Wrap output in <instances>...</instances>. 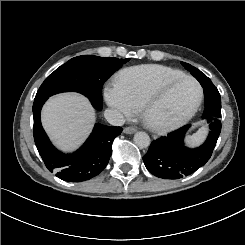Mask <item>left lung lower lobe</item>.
Segmentation results:
<instances>
[{
	"label": "left lung lower lobe",
	"instance_id": "1",
	"mask_svg": "<svg viewBox=\"0 0 245 245\" xmlns=\"http://www.w3.org/2000/svg\"><path fill=\"white\" fill-rule=\"evenodd\" d=\"M204 88L205 109L203 118L207 119L210 132L200 147L190 149L184 146V135L190 125L162 136L153 141L143 161L153 175L163 179H181L191 175L211 157L221 132V98L217 88L206 76L198 79Z\"/></svg>",
	"mask_w": 245,
	"mask_h": 245
}]
</instances>
